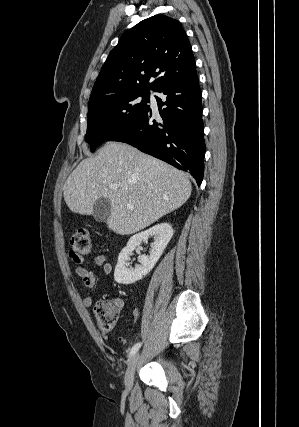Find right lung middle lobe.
<instances>
[{
    "label": "right lung middle lobe",
    "mask_w": 299,
    "mask_h": 427,
    "mask_svg": "<svg viewBox=\"0 0 299 427\" xmlns=\"http://www.w3.org/2000/svg\"><path fill=\"white\" fill-rule=\"evenodd\" d=\"M149 92L134 91L106 97L89 105L85 140L95 151L104 141L125 132L150 108Z\"/></svg>",
    "instance_id": "dd1d6c3e"
}]
</instances>
